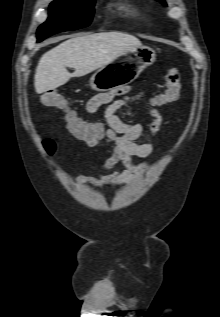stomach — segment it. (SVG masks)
<instances>
[{"mask_svg":"<svg viewBox=\"0 0 220 317\" xmlns=\"http://www.w3.org/2000/svg\"><path fill=\"white\" fill-rule=\"evenodd\" d=\"M155 57L154 50L145 46L126 51L98 69L90 78V86L104 92L130 84L155 61Z\"/></svg>","mask_w":220,"mask_h":317,"instance_id":"stomach-1","label":"stomach"}]
</instances>
